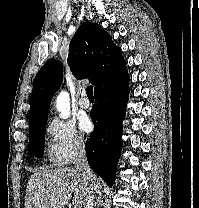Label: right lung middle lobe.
I'll return each mask as SVG.
<instances>
[{"mask_svg":"<svg viewBox=\"0 0 199 208\" xmlns=\"http://www.w3.org/2000/svg\"><path fill=\"white\" fill-rule=\"evenodd\" d=\"M46 122L42 125L29 131V148L28 154L30 157L36 156L41 157L44 152V141Z\"/></svg>","mask_w":199,"mask_h":208,"instance_id":"1","label":"right lung middle lobe"}]
</instances>
